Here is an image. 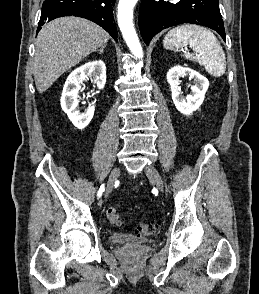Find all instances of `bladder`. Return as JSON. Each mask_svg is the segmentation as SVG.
Instances as JSON below:
<instances>
[{
    "label": "bladder",
    "instance_id": "bladder-1",
    "mask_svg": "<svg viewBox=\"0 0 259 294\" xmlns=\"http://www.w3.org/2000/svg\"><path fill=\"white\" fill-rule=\"evenodd\" d=\"M109 241L113 244H124V243H143L147 239L145 237L135 236L129 233L116 232L109 235Z\"/></svg>",
    "mask_w": 259,
    "mask_h": 294
}]
</instances>
